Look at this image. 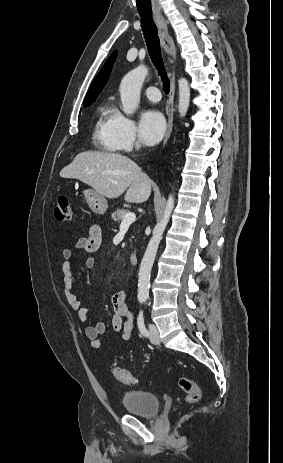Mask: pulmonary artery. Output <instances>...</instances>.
Masks as SVG:
<instances>
[{"label":"pulmonary artery","instance_id":"1","mask_svg":"<svg viewBox=\"0 0 283 463\" xmlns=\"http://www.w3.org/2000/svg\"><path fill=\"white\" fill-rule=\"evenodd\" d=\"M145 96L153 102H157L161 99V93L158 88L150 86L144 89Z\"/></svg>","mask_w":283,"mask_h":463}]
</instances>
